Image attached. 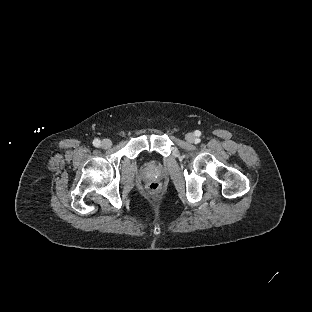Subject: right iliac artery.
<instances>
[{
	"label": "right iliac artery",
	"instance_id": "82829eb1",
	"mask_svg": "<svg viewBox=\"0 0 312 312\" xmlns=\"http://www.w3.org/2000/svg\"><path fill=\"white\" fill-rule=\"evenodd\" d=\"M93 145L98 147L100 145V140L99 139H94Z\"/></svg>",
	"mask_w": 312,
	"mask_h": 312
}]
</instances>
